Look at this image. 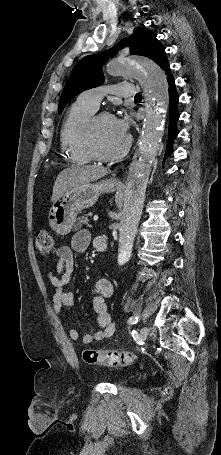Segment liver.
Returning a JSON list of instances; mask_svg holds the SVG:
<instances>
[{
    "label": "liver",
    "mask_w": 221,
    "mask_h": 455,
    "mask_svg": "<svg viewBox=\"0 0 221 455\" xmlns=\"http://www.w3.org/2000/svg\"><path fill=\"white\" fill-rule=\"evenodd\" d=\"M108 173L101 165H73L61 171L54 183L51 201L55 202L67 190L88 182L96 181Z\"/></svg>",
    "instance_id": "liver-1"
}]
</instances>
